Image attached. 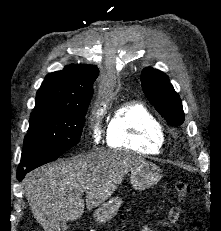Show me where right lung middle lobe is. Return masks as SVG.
Listing matches in <instances>:
<instances>
[{
    "label": "right lung middle lobe",
    "mask_w": 221,
    "mask_h": 231,
    "mask_svg": "<svg viewBox=\"0 0 221 231\" xmlns=\"http://www.w3.org/2000/svg\"><path fill=\"white\" fill-rule=\"evenodd\" d=\"M89 103L34 108L19 166L63 154L78 144Z\"/></svg>",
    "instance_id": "dd1d6c3e"
}]
</instances>
